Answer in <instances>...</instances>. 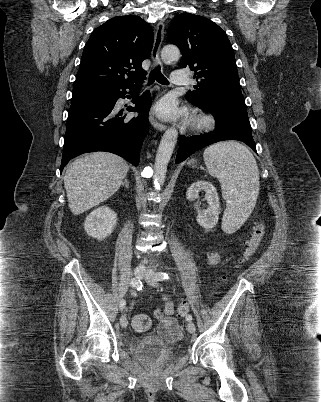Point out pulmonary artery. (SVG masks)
Listing matches in <instances>:
<instances>
[{"label": "pulmonary artery", "instance_id": "obj_1", "mask_svg": "<svg viewBox=\"0 0 321 402\" xmlns=\"http://www.w3.org/2000/svg\"><path fill=\"white\" fill-rule=\"evenodd\" d=\"M170 79H171V84H173L175 86L185 85L188 82L185 71L183 69H177V70L173 71Z\"/></svg>", "mask_w": 321, "mask_h": 402}]
</instances>
